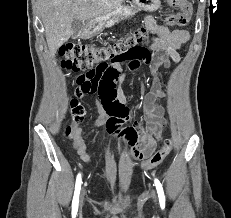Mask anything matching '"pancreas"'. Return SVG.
Returning <instances> with one entry per match:
<instances>
[{
  "label": "pancreas",
  "instance_id": "pancreas-1",
  "mask_svg": "<svg viewBox=\"0 0 231 218\" xmlns=\"http://www.w3.org/2000/svg\"><path fill=\"white\" fill-rule=\"evenodd\" d=\"M116 21H117L116 18L109 19L107 21L106 27H112L115 24Z\"/></svg>",
  "mask_w": 231,
  "mask_h": 218
}]
</instances>
